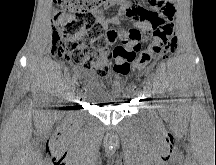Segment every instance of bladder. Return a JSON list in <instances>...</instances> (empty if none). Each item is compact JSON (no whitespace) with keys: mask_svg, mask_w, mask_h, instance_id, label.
Instances as JSON below:
<instances>
[{"mask_svg":"<svg viewBox=\"0 0 216 165\" xmlns=\"http://www.w3.org/2000/svg\"><path fill=\"white\" fill-rule=\"evenodd\" d=\"M113 86H120V81H97L96 90L94 93L92 88L89 86L87 92L84 93V97L91 100H108V97H117V92H111ZM104 106H118L121 105L119 102L115 101H104Z\"/></svg>","mask_w":216,"mask_h":165,"instance_id":"bladder-1","label":"bladder"}]
</instances>
